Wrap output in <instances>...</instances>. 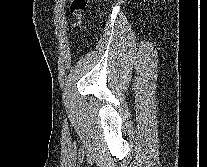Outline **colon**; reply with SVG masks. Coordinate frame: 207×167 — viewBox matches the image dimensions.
Returning <instances> with one entry per match:
<instances>
[{
  "mask_svg": "<svg viewBox=\"0 0 207 167\" xmlns=\"http://www.w3.org/2000/svg\"><path fill=\"white\" fill-rule=\"evenodd\" d=\"M89 0H70L69 2V12L75 18L74 28L78 29L82 25L83 14L87 7Z\"/></svg>",
  "mask_w": 207,
  "mask_h": 167,
  "instance_id": "obj_1",
  "label": "colon"
}]
</instances>
